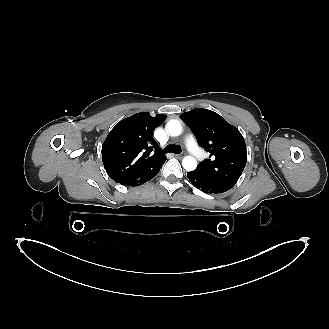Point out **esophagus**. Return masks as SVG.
Listing matches in <instances>:
<instances>
[{
  "label": "esophagus",
  "mask_w": 329,
  "mask_h": 329,
  "mask_svg": "<svg viewBox=\"0 0 329 329\" xmlns=\"http://www.w3.org/2000/svg\"><path fill=\"white\" fill-rule=\"evenodd\" d=\"M175 156H176L177 158H183V157H184V155H183L182 153H180V154H175Z\"/></svg>",
  "instance_id": "esophagus-1"
}]
</instances>
